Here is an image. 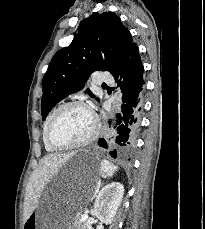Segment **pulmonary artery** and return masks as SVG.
Returning a JSON list of instances; mask_svg holds the SVG:
<instances>
[{"instance_id":"obj_1","label":"pulmonary artery","mask_w":205,"mask_h":229,"mask_svg":"<svg viewBox=\"0 0 205 229\" xmlns=\"http://www.w3.org/2000/svg\"><path fill=\"white\" fill-rule=\"evenodd\" d=\"M94 82L96 84H112L114 79L107 72H96Z\"/></svg>"}]
</instances>
